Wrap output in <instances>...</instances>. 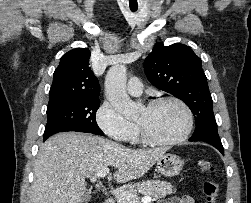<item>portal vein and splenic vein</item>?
Masks as SVG:
<instances>
[{"label": "portal vein and splenic vein", "mask_w": 251, "mask_h": 203, "mask_svg": "<svg viewBox=\"0 0 251 203\" xmlns=\"http://www.w3.org/2000/svg\"><path fill=\"white\" fill-rule=\"evenodd\" d=\"M107 174H109V168H102L94 174V176L91 178V181L95 182L97 178L99 179L104 178ZM116 196L117 197L125 196L129 203H139V198L134 195H130V194H126L122 192V193H117ZM151 201H152L151 196H145L141 198L142 203H150Z\"/></svg>", "instance_id": "18ae733b"}]
</instances>
